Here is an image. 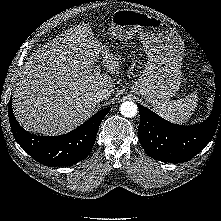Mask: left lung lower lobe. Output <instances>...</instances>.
Listing matches in <instances>:
<instances>
[{
	"label": "left lung lower lobe",
	"mask_w": 221,
	"mask_h": 221,
	"mask_svg": "<svg viewBox=\"0 0 221 221\" xmlns=\"http://www.w3.org/2000/svg\"><path fill=\"white\" fill-rule=\"evenodd\" d=\"M215 84L212 113L200 124L176 125L138 105V138L148 156L162 162H185L197 155L211 141L216 129L221 128V84Z\"/></svg>",
	"instance_id": "1"
}]
</instances>
